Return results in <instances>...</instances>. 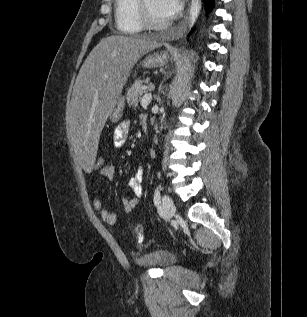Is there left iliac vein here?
<instances>
[{"label": "left iliac vein", "mask_w": 307, "mask_h": 317, "mask_svg": "<svg viewBox=\"0 0 307 317\" xmlns=\"http://www.w3.org/2000/svg\"><path fill=\"white\" fill-rule=\"evenodd\" d=\"M162 209L167 220L171 219L175 214L176 208L174 202L168 195H164L162 198Z\"/></svg>", "instance_id": "obj_1"}]
</instances>
